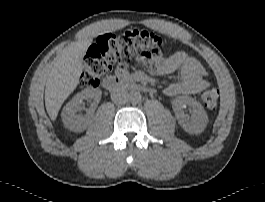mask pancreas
I'll return each mask as SVG.
<instances>
[{"label": "pancreas", "instance_id": "cf45deb5", "mask_svg": "<svg viewBox=\"0 0 265 202\" xmlns=\"http://www.w3.org/2000/svg\"><path fill=\"white\" fill-rule=\"evenodd\" d=\"M125 78H126L128 81H132V76L129 75V74H127V75L125 76Z\"/></svg>", "mask_w": 265, "mask_h": 202}]
</instances>
